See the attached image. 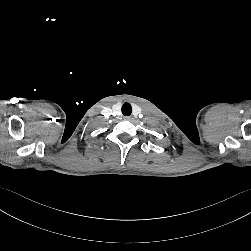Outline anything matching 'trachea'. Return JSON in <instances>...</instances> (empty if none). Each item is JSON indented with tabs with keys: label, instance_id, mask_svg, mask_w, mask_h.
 Masks as SVG:
<instances>
[{
	"label": "trachea",
	"instance_id": "obj_1",
	"mask_svg": "<svg viewBox=\"0 0 251 251\" xmlns=\"http://www.w3.org/2000/svg\"><path fill=\"white\" fill-rule=\"evenodd\" d=\"M121 110H122L123 115H125V116H130L131 113H132V107H131V105H130L129 103H127V102L123 104Z\"/></svg>",
	"mask_w": 251,
	"mask_h": 251
}]
</instances>
